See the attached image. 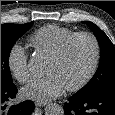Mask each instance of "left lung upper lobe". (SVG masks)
<instances>
[{"label":"left lung upper lobe","mask_w":115,"mask_h":115,"mask_svg":"<svg viewBox=\"0 0 115 115\" xmlns=\"http://www.w3.org/2000/svg\"><path fill=\"white\" fill-rule=\"evenodd\" d=\"M94 32L101 51L98 70L92 79L73 96L84 98L106 91H115V48L107 35L94 23L85 22Z\"/></svg>","instance_id":"left-lung-upper-lobe-1"}]
</instances>
